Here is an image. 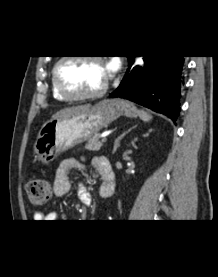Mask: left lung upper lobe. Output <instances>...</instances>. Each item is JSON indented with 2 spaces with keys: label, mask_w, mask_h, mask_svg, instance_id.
<instances>
[{
  "label": "left lung upper lobe",
  "mask_w": 218,
  "mask_h": 277,
  "mask_svg": "<svg viewBox=\"0 0 218 277\" xmlns=\"http://www.w3.org/2000/svg\"><path fill=\"white\" fill-rule=\"evenodd\" d=\"M129 58V60H131L133 58V56H127Z\"/></svg>",
  "instance_id": "1"
}]
</instances>
